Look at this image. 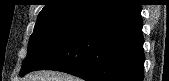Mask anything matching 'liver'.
Here are the masks:
<instances>
[{
    "instance_id": "1",
    "label": "liver",
    "mask_w": 169,
    "mask_h": 81,
    "mask_svg": "<svg viewBox=\"0 0 169 81\" xmlns=\"http://www.w3.org/2000/svg\"><path fill=\"white\" fill-rule=\"evenodd\" d=\"M26 81H78V78L55 71H37L30 74Z\"/></svg>"
}]
</instances>
